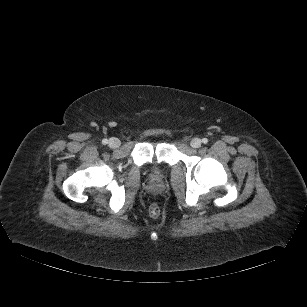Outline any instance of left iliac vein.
<instances>
[{
	"mask_svg": "<svg viewBox=\"0 0 307 307\" xmlns=\"http://www.w3.org/2000/svg\"><path fill=\"white\" fill-rule=\"evenodd\" d=\"M202 144V141L199 138H194L191 140V146L193 148H199Z\"/></svg>",
	"mask_w": 307,
	"mask_h": 307,
	"instance_id": "obj_1",
	"label": "left iliac vein"
}]
</instances>
